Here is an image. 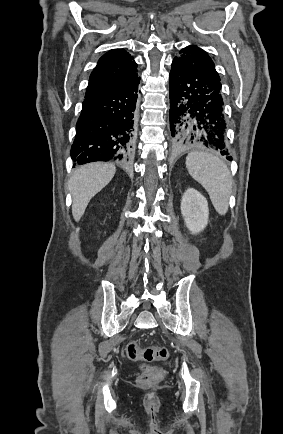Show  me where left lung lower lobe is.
Listing matches in <instances>:
<instances>
[{
  "label": "left lung lower lobe",
  "instance_id": "1",
  "mask_svg": "<svg viewBox=\"0 0 283 434\" xmlns=\"http://www.w3.org/2000/svg\"><path fill=\"white\" fill-rule=\"evenodd\" d=\"M221 81L173 59L170 71V130L176 147H201L228 155ZM228 160H232L230 156Z\"/></svg>",
  "mask_w": 283,
  "mask_h": 434
}]
</instances>
